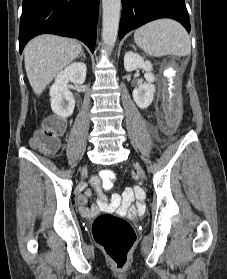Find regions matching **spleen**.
Instances as JSON below:
<instances>
[{"label": "spleen", "instance_id": "obj_1", "mask_svg": "<svg viewBox=\"0 0 227 279\" xmlns=\"http://www.w3.org/2000/svg\"><path fill=\"white\" fill-rule=\"evenodd\" d=\"M136 44L153 57L163 55L187 56L191 53V41L186 30L178 22L160 19L148 23L134 33Z\"/></svg>", "mask_w": 227, "mask_h": 279}]
</instances>
